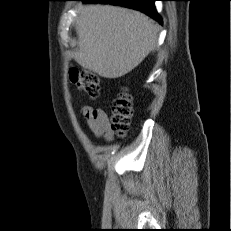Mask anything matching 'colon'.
<instances>
[{
  "label": "colon",
  "mask_w": 231,
  "mask_h": 231,
  "mask_svg": "<svg viewBox=\"0 0 231 231\" xmlns=\"http://www.w3.org/2000/svg\"><path fill=\"white\" fill-rule=\"evenodd\" d=\"M71 81L89 97L95 98L99 93V81L97 76L85 69H73L70 72ZM133 112L130 97L122 93L114 101L112 113V128L123 134L129 126Z\"/></svg>",
  "instance_id": "obj_1"
}]
</instances>
